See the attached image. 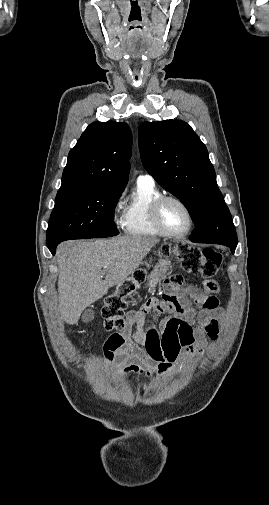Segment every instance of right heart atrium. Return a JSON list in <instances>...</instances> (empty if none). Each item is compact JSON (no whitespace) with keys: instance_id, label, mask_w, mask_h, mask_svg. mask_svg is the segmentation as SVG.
I'll return each mask as SVG.
<instances>
[{"instance_id":"d8ad5b80","label":"right heart atrium","mask_w":269,"mask_h":505,"mask_svg":"<svg viewBox=\"0 0 269 505\" xmlns=\"http://www.w3.org/2000/svg\"><path fill=\"white\" fill-rule=\"evenodd\" d=\"M114 221L117 225H123L124 212H123V194H120L113 204Z\"/></svg>"}]
</instances>
